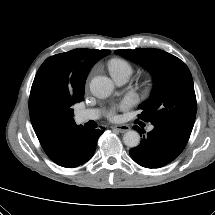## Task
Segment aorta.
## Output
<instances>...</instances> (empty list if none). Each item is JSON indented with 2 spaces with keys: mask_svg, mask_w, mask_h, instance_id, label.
Here are the masks:
<instances>
[{
  "mask_svg": "<svg viewBox=\"0 0 215 215\" xmlns=\"http://www.w3.org/2000/svg\"><path fill=\"white\" fill-rule=\"evenodd\" d=\"M113 90L114 84L108 77L96 76L90 82V91L97 98H106ZM123 142L130 148L137 147L140 143V135L137 131L129 130L124 134Z\"/></svg>",
  "mask_w": 215,
  "mask_h": 215,
  "instance_id": "aorta-1",
  "label": "aorta"
}]
</instances>
